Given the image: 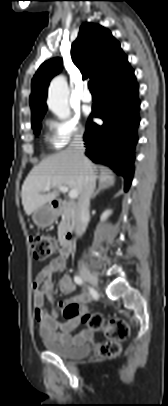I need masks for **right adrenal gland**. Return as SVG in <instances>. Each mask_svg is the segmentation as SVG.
<instances>
[{
    "label": "right adrenal gland",
    "mask_w": 168,
    "mask_h": 406,
    "mask_svg": "<svg viewBox=\"0 0 168 406\" xmlns=\"http://www.w3.org/2000/svg\"><path fill=\"white\" fill-rule=\"evenodd\" d=\"M112 185H113V183L100 182L98 189L96 190V192L92 196V199H94L102 190L107 189Z\"/></svg>",
    "instance_id": "1"
}]
</instances>
